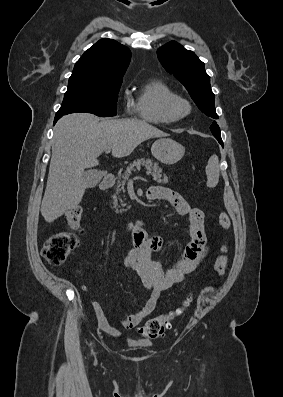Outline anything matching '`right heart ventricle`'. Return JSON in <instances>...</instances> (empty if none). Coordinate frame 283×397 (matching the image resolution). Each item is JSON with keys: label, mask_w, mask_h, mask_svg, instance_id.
<instances>
[{"label": "right heart ventricle", "mask_w": 283, "mask_h": 397, "mask_svg": "<svg viewBox=\"0 0 283 397\" xmlns=\"http://www.w3.org/2000/svg\"><path fill=\"white\" fill-rule=\"evenodd\" d=\"M177 96L175 91L159 79H149L136 92V111L139 117L153 124H169L175 120L167 111L170 99Z\"/></svg>", "instance_id": "obj_1"}]
</instances>
